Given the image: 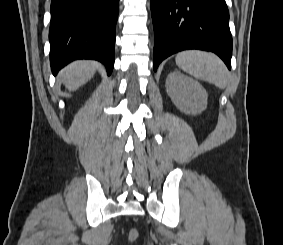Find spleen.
<instances>
[{"label":"spleen","instance_id":"1","mask_svg":"<svg viewBox=\"0 0 283 245\" xmlns=\"http://www.w3.org/2000/svg\"><path fill=\"white\" fill-rule=\"evenodd\" d=\"M176 64L197 79L213 83L220 89L228 84V71L224 63L213 53L187 50L176 55Z\"/></svg>","mask_w":283,"mask_h":245}]
</instances>
